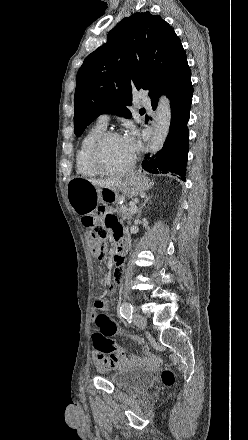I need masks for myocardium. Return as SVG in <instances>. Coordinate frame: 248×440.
<instances>
[{
    "label": "myocardium",
    "mask_w": 248,
    "mask_h": 440,
    "mask_svg": "<svg viewBox=\"0 0 248 440\" xmlns=\"http://www.w3.org/2000/svg\"><path fill=\"white\" fill-rule=\"evenodd\" d=\"M114 137H123V136L118 131H105L103 134H101L96 139V141L94 142V144L91 147V150L89 153V161H90V164L93 167V169L100 175L110 176V177L123 176V175L130 173L135 167V164H136V156L135 155L133 156L130 164L121 170L113 171V170H109L104 167V165L102 164V161H101L102 151H103V148L106 145V143L111 138H114Z\"/></svg>",
    "instance_id": "f54148a6"
}]
</instances>
